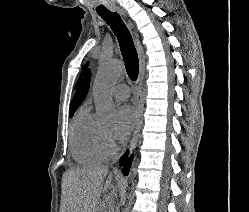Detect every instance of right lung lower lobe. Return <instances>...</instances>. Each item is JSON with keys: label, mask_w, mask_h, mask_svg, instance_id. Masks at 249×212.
Instances as JSON below:
<instances>
[{"label": "right lung lower lobe", "mask_w": 249, "mask_h": 212, "mask_svg": "<svg viewBox=\"0 0 249 212\" xmlns=\"http://www.w3.org/2000/svg\"><path fill=\"white\" fill-rule=\"evenodd\" d=\"M127 155H128V152H126L120 159V166H123V173L125 175H127L129 173V169H130V164H131V161H132V156L127 159Z\"/></svg>", "instance_id": "1"}]
</instances>
